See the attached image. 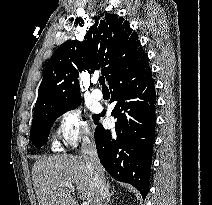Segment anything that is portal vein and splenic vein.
<instances>
[{
  "instance_id": "obj_1",
  "label": "portal vein and splenic vein",
  "mask_w": 212,
  "mask_h": 205,
  "mask_svg": "<svg viewBox=\"0 0 212 205\" xmlns=\"http://www.w3.org/2000/svg\"><path fill=\"white\" fill-rule=\"evenodd\" d=\"M61 185L62 186H66V187H68L72 192H74L75 191V189H74V187H73V185L71 184V183H69V182H63V183H61ZM81 205H89V203L88 202H86V201H84V202H82V204Z\"/></svg>"
}]
</instances>
